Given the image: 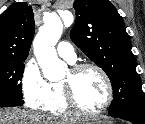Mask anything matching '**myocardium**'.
Here are the masks:
<instances>
[{"label":"myocardium","mask_w":145,"mask_h":124,"mask_svg":"<svg viewBox=\"0 0 145 124\" xmlns=\"http://www.w3.org/2000/svg\"><path fill=\"white\" fill-rule=\"evenodd\" d=\"M87 69H92V70H95L96 72H98L105 83L106 99L98 109L93 110V111L85 110L78 103V101L75 97L72 83L70 81H62L60 83L63 88L66 103L71 111H73L74 113L81 115V116L95 117V116H98V115L104 113L108 109V107L112 104L113 98H114V89H113L112 81H111L109 75L107 74V72L101 66H99L97 64H94V63L75 64L70 69V73H71V75L75 76V75L79 74L80 72L87 70Z\"/></svg>","instance_id":"obj_1"}]
</instances>
